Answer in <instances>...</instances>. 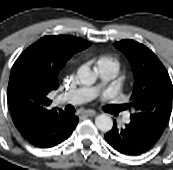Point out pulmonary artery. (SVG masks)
<instances>
[{
  "label": "pulmonary artery",
  "instance_id": "1",
  "mask_svg": "<svg viewBox=\"0 0 173 170\" xmlns=\"http://www.w3.org/2000/svg\"><path fill=\"white\" fill-rule=\"evenodd\" d=\"M96 71L99 76V83L95 86L82 87L72 91L63 93L60 96L61 101L70 104H81L95 98L101 89L115 77L116 70L113 67L98 63ZM124 122H128V116L123 119Z\"/></svg>",
  "mask_w": 173,
  "mask_h": 170
}]
</instances>
